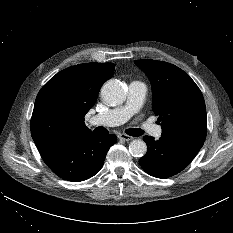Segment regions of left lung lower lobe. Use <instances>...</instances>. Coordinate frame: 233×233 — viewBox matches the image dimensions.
<instances>
[{
	"label": "left lung lower lobe",
	"mask_w": 233,
	"mask_h": 233,
	"mask_svg": "<svg viewBox=\"0 0 233 233\" xmlns=\"http://www.w3.org/2000/svg\"><path fill=\"white\" fill-rule=\"evenodd\" d=\"M147 153L139 163L143 170L156 178H168L182 171L196 156L204 142L183 137L161 136L157 141L144 136Z\"/></svg>",
	"instance_id": "0a47b994"
}]
</instances>
